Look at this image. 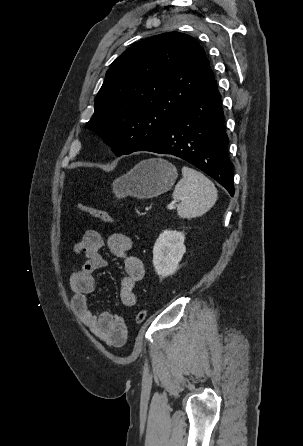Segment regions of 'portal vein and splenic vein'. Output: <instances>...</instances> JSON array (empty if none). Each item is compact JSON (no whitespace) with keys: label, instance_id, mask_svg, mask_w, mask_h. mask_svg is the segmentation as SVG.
<instances>
[{"label":"portal vein and splenic vein","instance_id":"18ae733b","mask_svg":"<svg viewBox=\"0 0 303 446\" xmlns=\"http://www.w3.org/2000/svg\"><path fill=\"white\" fill-rule=\"evenodd\" d=\"M175 208V206H174V204L172 203V204H169L168 206H167V209L168 210H172V209H174Z\"/></svg>","mask_w":303,"mask_h":446}]
</instances>
